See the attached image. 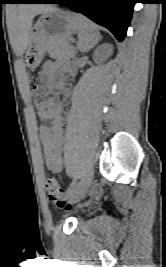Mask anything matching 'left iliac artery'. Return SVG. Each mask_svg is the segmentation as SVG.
I'll return each instance as SVG.
<instances>
[{"instance_id":"1","label":"left iliac artery","mask_w":166,"mask_h":267,"mask_svg":"<svg viewBox=\"0 0 166 267\" xmlns=\"http://www.w3.org/2000/svg\"><path fill=\"white\" fill-rule=\"evenodd\" d=\"M76 181L75 180H73L72 182H71V184H70V186L68 187V189H67V191H66V197H69L71 194H72V192L74 191V189H75V187H76Z\"/></svg>"}]
</instances>
